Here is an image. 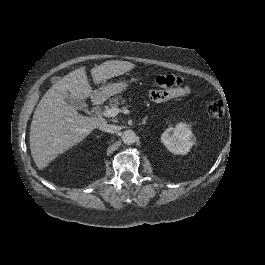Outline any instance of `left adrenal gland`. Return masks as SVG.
I'll list each match as a JSON object with an SVG mask.
<instances>
[{"instance_id":"a2214340","label":"left adrenal gland","mask_w":265,"mask_h":265,"mask_svg":"<svg viewBox=\"0 0 265 265\" xmlns=\"http://www.w3.org/2000/svg\"><path fill=\"white\" fill-rule=\"evenodd\" d=\"M148 119V117L146 116L145 118H143L142 120V124L145 125L146 124V120Z\"/></svg>"}]
</instances>
